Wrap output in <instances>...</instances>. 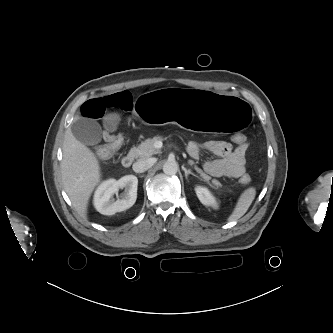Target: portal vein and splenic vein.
Returning a JSON list of instances; mask_svg holds the SVG:
<instances>
[{
  "mask_svg": "<svg viewBox=\"0 0 333 333\" xmlns=\"http://www.w3.org/2000/svg\"><path fill=\"white\" fill-rule=\"evenodd\" d=\"M156 145H157L156 146L157 148H160L162 146V142L158 141V142H156Z\"/></svg>",
  "mask_w": 333,
  "mask_h": 333,
  "instance_id": "portal-vein-and-splenic-vein-1",
  "label": "portal vein and splenic vein"
}]
</instances>
